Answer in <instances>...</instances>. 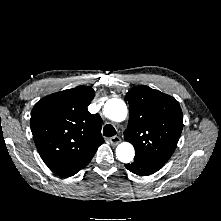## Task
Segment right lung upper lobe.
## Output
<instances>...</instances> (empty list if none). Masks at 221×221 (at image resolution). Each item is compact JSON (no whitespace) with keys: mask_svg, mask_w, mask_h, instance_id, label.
<instances>
[{"mask_svg":"<svg viewBox=\"0 0 221 221\" xmlns=\"http://www.w3.org/2000/svg\"><path fill=\"white\" fill-rule=\"evenodd\" d=\"M95 91L78 86L48 95L31 112V131L45 164L57 175L70 177L89 164L99 145L102 119L88 112Z\"/></svg>","mask_w":221,"mask_h":221,"instance_id":"1","label":"right lung upper lobe"}]
</instances>
